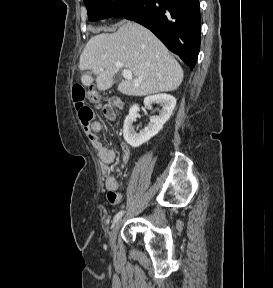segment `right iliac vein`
<instances>
[{
  "instance_id": "63e3f726",
  "label": "right iliac vein",
  "mask_w": 273,
  "mask_h": 288,
  "mask_svg": "<svg viewBox=\"0 0 273 288\" xmlns=\"http://www.w3.org/2000/svg\"><path fill=\"white\" fill-rule=\"evenodd\" d=\"M122 223H123V219H119V220L115 223V225L113 226V228H112V230H111V232H110L109 241H110V244H111L112 246L115 245L117 233H118V231H119Z\"/></svg>"
}]
</instances>
